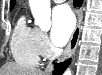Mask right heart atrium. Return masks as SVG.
<instances>
[{"label": "right heart atrium", "mask_w": 102, "mask_h": 75, "mask_svg": "<svg viewBox=\"0 0 102 75\" xmlns=\"http://www.w3.org/2000/svg\"><path fill=\"white\" fill-rule=\"evenodd\" d=\"M37 48H38V54L41 57L48 58L50 57L52 53V47L48 40V37L46 33L42 31H38V37H37Z\"/></svg>", "instance_id": "obj_1"}]
</instances>
